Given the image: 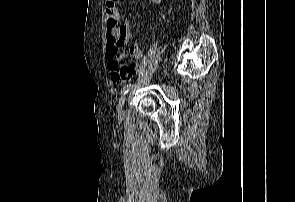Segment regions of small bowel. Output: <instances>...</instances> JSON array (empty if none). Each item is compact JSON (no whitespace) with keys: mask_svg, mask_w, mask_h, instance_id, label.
<instances>
[{"mask_svg":"<svg viewBox=\"0 0 295 202\" xmlns=\"http://www.w3.org/2000/svg\"><path fill=\"white\" fill-rule=\"evenodd\" d=\"M150 2L154 5H160L161 0H150ZM106 14L108 20L116 19L117 21H121V14L117 11V9L106 8ZM116 34L121 39V43L119 47H110L106 46V57L108 59V68L112 79L116 82L120 81L124 76H130L136 73L139 68L132 67L131 63H125V59H120L125 56L124 52H119V48H124L128 45L130 40V27L128 22H124L120 26L115 29ZM130 55L139 59L144 55L143 50L138 45H130L129 47ZM120 60V61H119ZM120 62V63H119ZM131 68V69H130ZM121 72V73H119Z\"/></svg>","mask_w":295,"mask_h":202,"instance_id":"1","label":"small bowel"}]
</instances>
